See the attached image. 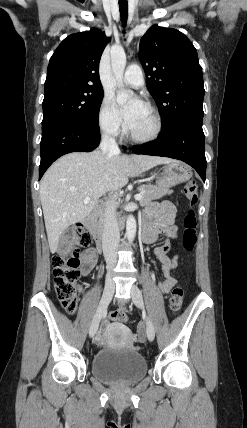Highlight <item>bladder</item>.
Returning <instances> with one entry per match:
<instances>
[{
  "instance_id": "31cf9c89",
  "label": "bladder",
  "mask_w": 247,
  "mask_h": 428,
  "mask_svg": "<svg viewBox=\"0 0 247 428\" xmlns=\"http://www.w3.org/2000/svg\"><path fill=\"white\" fill-rule=\"evenodd\" d=\"M91 370L102 381L130 384L145 375L147 365L142 355L134 349L106 348L94 355Z\"/></svg>"
}]
</instances>
